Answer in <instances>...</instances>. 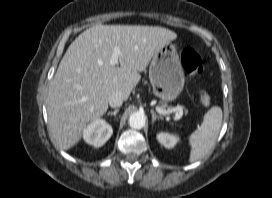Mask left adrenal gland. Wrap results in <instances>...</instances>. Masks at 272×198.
<instances>
[{"label": "left adrenal gland", "mask_w": 272, "mask_h": 198, "mask_svg": "<svg viewBox=\"0 0 272 198\" xmlns=\"http://www.w3.org/2000/svg\"><path fill=\"white\" fill-rule=\"evenodd\" d=\"M151 114H152V123L154 124L155 123V121L158 119H161L162 120V117L161 116H158L155 112H154V110H151Z\"/></svg>", "instance_id": "a2214340"}]
</instances>
